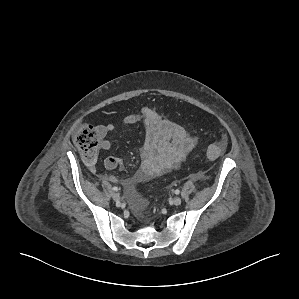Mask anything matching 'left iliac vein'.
I'll list each match as a JSON object with an SVG mask.
<instances>
[{"mask_svg": "<svg viewBox=\"0 0 299 299\" xmlns=\"http://www.w3.org/2000/svg\"><path fill=\"white\" fill-rule=\"evenodd\" d=\"M181 202H182V201H181V198H180V197H175V198L173 199V204L176 205V206L180 205Z\"/></svg>", "mask_w": 299, "mask_h": 299, "instance_id": "obj_1", "label": "left iliac vein"}]
</instances>
